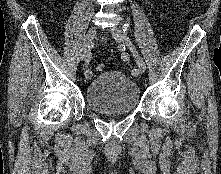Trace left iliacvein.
<instances>
[{"instance_id": "4c4485c4", "label": "left iliac vein", "mask_w": 221, "mask_h": 174, "mask_svg": "<svg viewBox=\"0 0 221 174\" xmlns=\"http://www.w3.org/2000/svg\"><path fill=\"white\" fill-rule=\"evenodd\" d=\"M110 32L112 36L120 43H122L124 46H126L132 53L139 69L144 72L146 70V64L141 57V55L138 53L136 48L134 47L133 43L131 42L129 36L126 34V32H123L121 29H118L116 27H112L110 29Z\"/></svg>"}]
</instances>
